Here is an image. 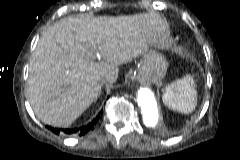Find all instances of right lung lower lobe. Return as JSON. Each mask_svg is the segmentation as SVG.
Returning <instances> with one entry per match:
<instances>
[{"label":"right lung lower lobe","instance_id":"1","mask_svg":"<svg viewBox=\"0 0 240 160\" xmlns=\"http://www.w3.org/2000/svg\"><path fill=\"white\" fill-rule=\"evenodd\" d=\"M99 120V114L96 118L93 119V121H91L89 124H87L86 126L77 129H58V128H52L50 126H48V129H50L51 131H53L55 134H59L60 132L65 133V134H75L78 133L80 136L87 134L89 131L93 130L94 126L96 125V123Z\"/></svg>","mask_w":240,"mask_h":160}]
</instances>
